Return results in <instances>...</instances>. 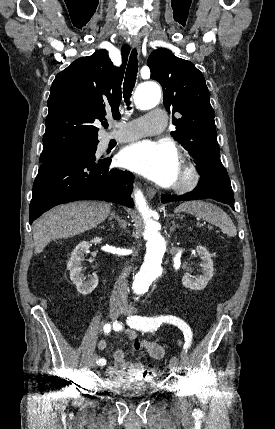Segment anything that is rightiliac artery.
<instances>
[{
  "label": "right iliac artery",
  "instance_id": "right-iliac-artery-1",
  "mask_svg": "<svg viewBox=\"0 0 275 429\" xmlns=\"http://www.w3.org/2000/svg\"><path fill=\"white\" fill-rule=\"evenodd\" d=\"M113 327L114 328H118V325L116 323H114ZM103 330H104L105 333H109L111 331V324L110 323L105 324L104 327H103ZM97 364L100 365V366H104L106 364V360L104 358H100L97 361Z\"/></svg>",
  "mask_w": 275,
  "mask_h": 429
}]
</instances>
